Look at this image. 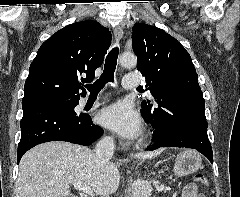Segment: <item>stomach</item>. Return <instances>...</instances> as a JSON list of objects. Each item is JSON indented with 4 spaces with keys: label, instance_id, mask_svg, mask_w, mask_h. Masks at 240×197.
Wrapping results in <instances>:
<instances>
[{
    "label": "stomach",
    "instance_id": "0dacf381",
    "mask_svg": "<svg viewBox=\"0 0 240 197\" xmlns=\"http://www.w3.org/2000/svg\"><path fill=\"white\" fill-rule=\"evenodd\" d=\"M202 168L200 155L194 150H185L178 154L173 167L176 176H185Z\"/></svg>",
    "mask_w": 240,
    "mask_h": 197
}]
</instances>
